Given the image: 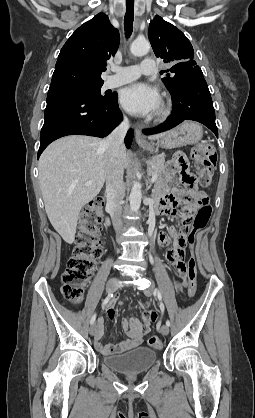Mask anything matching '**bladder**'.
I'll list each match as a JSON object with an SVG mask.
<instances>
[{"label":"bladder","mask_w":255,"mask_h":418,"mask_svg":"<svg viewBox=\"0 0 255 418\" xmlns=\"http://www.w3.org/2000/svg\"><path fill=\"white\" fill-rule=\"evenodd\" d=\"M157 357L154 349L139 346L121 354L104 356L103 362L118 372L131 374L148 370L156 363Z\"/></svg>","instance_id":"bladder-1"}]
</instances>
